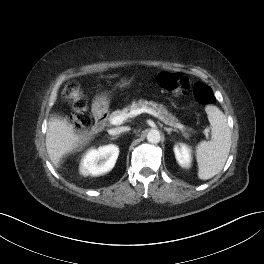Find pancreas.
I'll list each match as a JSON object with an SVG mask.
<instances>
[{"label":"pancreas","instance_id":"obj_1","mask_svg":"<svg viewBox=\"0 0 264 264\" xmlns=\"http://www.w3.org/2000/svg\"><path fill=\"white\" fill-rule=\"evenodd\" d=\"M142 107H147V108H151V109L155 110L161 117H163V119L168 124H170L174 127L178 128L179 125H182L179 123L178 119L175 116H173L171 113H169L167 111V109L162 104H157L156 102L147 101V100H139L137 102H133L131 105L124 107L122 110H116V111L112 112L109 116V120H110V118L117 116L119 114L129 113L133 110H136V109H139ZM180 130L184 131V130H186V128L183 126V129H180Z\"/></svg>","mask_w":264,"mask_h":264}]
</instances>
